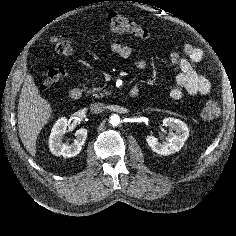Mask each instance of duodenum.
Returning a JSON list of instances; mask_svg holds the SVG:
<instances>
[{"label": "duodenum", "instance_id": "410a0bca", "mask_svg": "<svg viewBox=\"0 0 236 236\" xmlns=\"http://www.w3.org/2000/svg\"><path fill=\"white\" fill-rule=\"evenodd\" d=\"M138 93H139V90H138V89L132 88V89L130 90V92H129V96H130L131 98H135V97H137ZM69 96H70V98L73 99V100H78V99H80L81 96H82V91H81L80 88H77V87L72 88V89L70 90V92H69Z\"/></svg>", "mask_w": 236, "mask_h": 236}]
</instances>
